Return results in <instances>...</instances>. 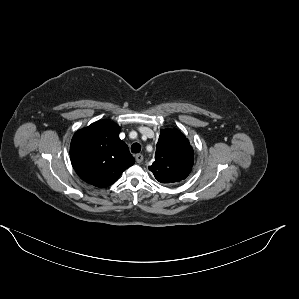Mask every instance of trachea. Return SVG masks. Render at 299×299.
Segmentation results:
<instances>
[{
  "label": "trachea",
  "instance_id": "trachea-1",
  "mask_svg": "<svg viewBox=\"0 0 299 299\" xmlns=\"http://www.w3.org/2000/svg\"><path fill=\"white\" fill-rule=\"evenodd\" d=\"M141 151V145L139 143H134L131 146V152L132 153H139Z\"/></svg>",
  "mask_w": 299,
  "mask_h": 299
}]
</instances>
